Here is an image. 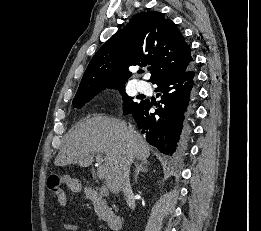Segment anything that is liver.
Returning <instances> with one entry per match:
<instances>
[{
    "label": "liver",
    "instance_id": "liver-1",
    "mask_svg": "<svg viewBox=\"0 0 261 231\" xmlns=\"http://www.w3.org/2000/svg\"><path fill=\"white\" fill-rule=\"evenodd\" d=\"M105 154V181L107 189L117 194L123 188L128 163L136 159L147 162L150 147L142 136L130 133L127 124L119 119L94 115L79 122L65 138L54 164H79L87 167L94 154Z\"/></svg>",
    "mask_w": 261,
    "mask_h": 231
}]
</instances>
